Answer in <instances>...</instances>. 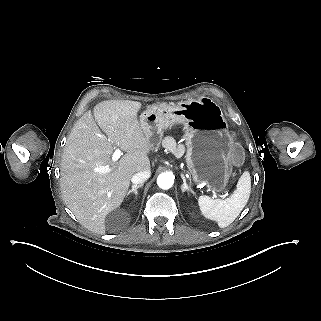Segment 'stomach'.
Segmentation results:
<instances>
[{
  "label": "stomach",
  "instance_id": "0dacf381",
  "mask_svg": "<svg viewBox=\"0 0 321 321\" xmlns=\"http://www.w3.org/2000/svg\"><path fill=\"white\" fill-rule=\"evenodd\" d=\"M205 100L201 97L174 105L154 103L141 113L139 124L149 139L150 149L159 147L164 130L183 124L185 158L193 181L220 192L232 173L228 154L233 140L222 110L211 107Z\"/></svg>",
  "mask_w": 321,
  "mask_h": 321
}]
</instances>
